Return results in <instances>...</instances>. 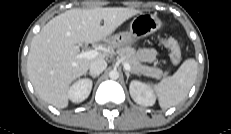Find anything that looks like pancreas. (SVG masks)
<instances>
[{"label":"pancreas","instance_id":"pancreas-1","mask_svg":"<svg viewBox=\"0 0 231 134\" xmlns=\"http://www.w3.org/2000/svg\"><path fill=\"white\" fill-rule=\"evenodd\" d=\"M116 52L122 60L129 63L132 72L135 74H142L156 79H160L167 75V72H163L159 68L142 65L136 57L135 49L130 46L119 47Z\"/></svg>","mask_w":231,"mask_h":134}]
</instances>
